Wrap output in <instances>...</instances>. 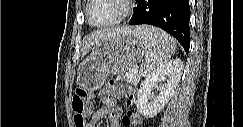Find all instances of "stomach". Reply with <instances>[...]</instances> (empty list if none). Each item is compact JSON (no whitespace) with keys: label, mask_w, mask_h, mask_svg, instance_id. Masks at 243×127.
Listing matches in <instances>:
<instances>
[{"label":"stomach","mask_w":243,"mask_h":127,"mask_svg":"<svg viewBox=\"0 0 243 127\" xmlns=\"http://www.w3.org/2000/svg\"><path fill=\"white\" fill-rule=\"evenodd\" d=\"M146 52L135 32L119 33L94 44L91 54L78 66V84L93 91L109 74H124L135 68Z\"/></svg>","instance_id":"stomach-1"}]
</instances>
